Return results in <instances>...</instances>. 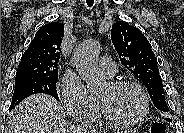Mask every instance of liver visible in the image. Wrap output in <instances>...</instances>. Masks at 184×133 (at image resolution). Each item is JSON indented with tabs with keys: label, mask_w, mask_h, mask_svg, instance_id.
<instances>
[{
	"label": "liver",
	"mask_w": 184,
	"mask_h": 133,
	"mask_svg": "<svg viewBox=\"0 0 184 133\" xmlns=\"http://www.w3.org/2000/svg\"><path fill=\"white\" fill-rule=\"evenodd\" d=\"M6 124L7 133H97V130L67 125L61 105L45 94L24 99L10 112Z\"/></svg>",
	"instance_id": "1"
}]
</instances>
